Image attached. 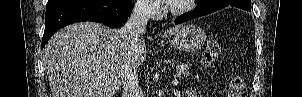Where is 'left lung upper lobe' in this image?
Masks as SVG:
<instances>
[{
  "label": "left lung upper lobe",
  "instance_id": "obj_1",
  "mask_svg": "<svg viewBox=\"0 0 302 97\" xmlns=\"http://www.w3.org/2000/svg\"><path fill=\"white\" fill-rule=\"evenodd\" d=\"M198 1H201V0H198ZM217 1V3L221 4V5H229L231 3H238L239 0H215Z\"/></svg>",
  "mask_w": 302,
  "mask_h": 97
}]
</instances>
